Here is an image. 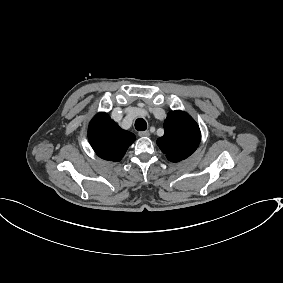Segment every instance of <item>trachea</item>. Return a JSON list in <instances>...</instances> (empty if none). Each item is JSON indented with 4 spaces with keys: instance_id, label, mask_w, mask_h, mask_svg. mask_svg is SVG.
Masks as SVG:
<instances>
[{
    "instance_id": "trachea-1",
    "label": "trachea",
    "mask_w": 283,
    "mask_h": 283,
    "mask_svg": "<svg viewBox=\"0 0 283 283\" xmlns=\"http://www.w3.org/2000/svg\"><path fill=\"white\" fill-rule=\"evenodd\" d=\"M135 129L138 131H145L147 129V123L144 119L138 118L135 121Z\"/></svg>"
}]
</instances>
